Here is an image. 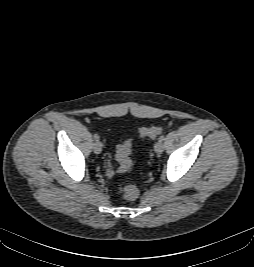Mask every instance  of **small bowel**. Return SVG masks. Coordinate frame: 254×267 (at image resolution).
I'll use <instances>...</instances> for the list:
<instances>
[{"instance_id":"obj_1","label":"small bowel","mask_w":254,"mask_h":267,"mask_svg":"<svg viewBox=\"0 0 254 267\" xmlns=\"http://www.w3.org/2000/svg\"><path fill=\"white\" fill-rule=\"evenodd\" d=\"M113 171L111 169L108 170V175H112Z\"/></svg>"}]
</instances>
